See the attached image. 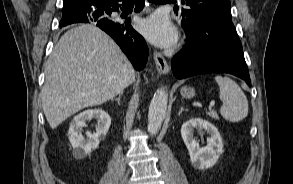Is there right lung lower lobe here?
<instances>
[{
  "label": "right lung lower lobe",
  "instance_id": "right-lung-lower-lobe-1",
  "mask_svg": "<svg viewBox=\"0 0 293 184\" xmlns=\"http://www.w3.org/2000/svg\"><path fill=\"white\" fill-rule=\"evenodd\" d=\"M130 2L136 3L135 12H139L144 5V0H104L99 5L63 17L60 27L76 22L95 24L116 41L137 70H142L148 58V47L144 38L130 26V19L119 22L111 17L112 12L119 11L121 3L126 7Z\"/></svg>",
  "mask_w": 293,
  "mask_h": 184
}]
</instances>
